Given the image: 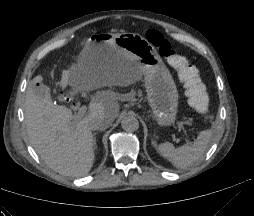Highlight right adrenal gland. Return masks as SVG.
<instances>
[{
	"label": "right adrenal gland",
	"mask_w": 254,
	"mask_h": 216,
	"mask_svg": "<svg viewBox=\"0 0 254 216\" xmlns=\"http://www.w3.org/2000/svg\"><path fill=\"white\" fill-rule=\"evenodd\" d=\"M93 143H94V148L97 147V143H96V133H93Z\"/></svg>",
	"instance_id": "right-adrenal-gland-1"
}]
</instances>
